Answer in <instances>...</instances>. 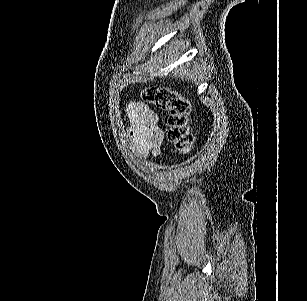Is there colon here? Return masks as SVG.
Wrapping results in <instances>:
<instances>
[{
    "label": "colon",
    "mask_w": 307,
    "mask_h": 301,
    "mask_svg": "<svg viewBox=\"0 0 307 301\" xmlns=\"http://www.w3.org/2000/svg\"><path fill=\"white\" fill-rule=\"evenodd\" d=\"M143 101L165 111L167 137L181 154H188L194 144L193 134L188 126L189 101L176 91L149 86L141 91Z\"/></svg>",
    "instance_id": "1"
}]
</instances>
